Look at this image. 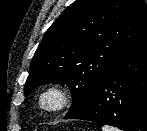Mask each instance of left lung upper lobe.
I'll use <instances>...</instances> for the list:
<instances>
[{"instance_id": "left-lung-upper-lobe-1", "label": "left lung upper lobe", "mask_w": 147, "mask_h": 131, "mask_svg": "<svg viewBox=\"0 0 147 131\" xmlns=\"http://www.w3.org/2000/svg\"><path fill=\"white\" fill-rule=\"evenodd\" d=\"M146 40L144 0H77L45 33L31 61L25 95L42 84H68L69 117L89 101L112 65Z\"/></svg>"}]
</instances>
